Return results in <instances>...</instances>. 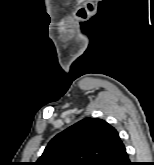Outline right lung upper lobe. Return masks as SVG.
Wrapping results in <instances>:
<instances>
[{"mask_svg": "<svg viewBox=\"0 0 154 165\" xmlns=\"http://www.w3.org/2000/svg\"><path fill=\"white\" fill-rule=\"evenodd\" d=\"M120 141L106 121L85 118L56 135L35 165H107Z\"/></svg>", "mask_w": 154, "mask_h": 165, "instance_id": "right-lung-upper-lobe-1", "label": "right lung upper lobe"}]
</instances>
